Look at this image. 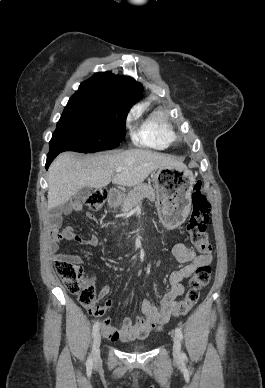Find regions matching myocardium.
<instances>
[{
	"label": "myocardium",
	"instance_id": "f54148a6",
	"mask_svg": "<svg viewBox=\"0 0 265 388\" xmlns=\"http://www.w3.org/2000/svg\"><path fill=\"white\" fill-rule=\"evenodd\" d=\"M175 138H180V136H176Z\"/></svg>",
	"mask_w": 265,
	"mask_h": 388
}]
</instances>
